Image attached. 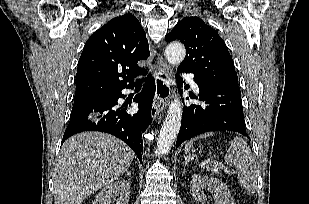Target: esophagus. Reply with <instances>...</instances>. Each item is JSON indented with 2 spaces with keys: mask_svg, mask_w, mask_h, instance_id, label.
<instances>
[{
  "mask_svg": "<svg viewBox=\"0 0 309 204\" xmlns=\"http://www.w3.org/2000/svg\"><path fill=\"white\" fill-rule=\"evenodd\" d=\"M157 65L159 71L164 74L168 80L172 78V71L170 66L163 60L162 57L157 58ZM156 92L151 110V117L153 120L157 118L163 106L167 103L171 95V85L169 81H165L160 75L155 76Z\"/></svg>",
  "mask_w": 309,
  "mask_h": 204,
  "instance_id": "esophagus-1",
  "label": "esophagus"
}]
</instances>
